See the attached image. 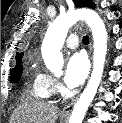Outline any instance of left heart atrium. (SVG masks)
I'll return each instance as SVG.
<instances>
[{
    "label": "left heart atrium",
    "instance_id": "left-heart-atrium-1",
    "mask_svg": "<svg viewBox=\"0 0 122 123\" xmlns=\"http://www.w3.org/2000/svg\"><path fill=\"white\" fill-rule=\"evenodd\" d=\"M89 72V63L84 53H74L66 64L64 82L69 88L83 84Z\"/></svg>",
    "mask_w": 122,
    "mask_h": 123
}]
</instances>
